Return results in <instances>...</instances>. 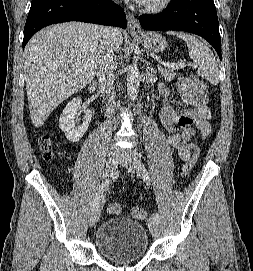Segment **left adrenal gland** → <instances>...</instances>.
Masks as SVG:
<instances>
[{
  "mask_svg": "<svg viewBox=\"0 0 253 271\" xmlns=\"http://www.w3.org/2000/svg\"><path fill=\"white\" fill-rule=\"evenodd\" d=\"M146 63H147V69H149L152 73H157V71L154 70L153 67H150V62L149 61H147Z\"/></svg>",
  "mask_w": 253,
  "mask_h": 271,
  "instance_id": "1",
  "label": "left adrenal gland"
}]
</instances>
